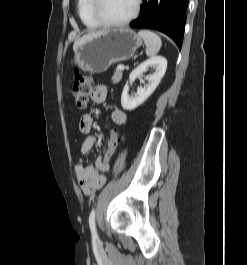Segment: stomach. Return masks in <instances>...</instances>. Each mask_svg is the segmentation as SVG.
Here are the masks:
<instances>
[{"mask_svg":"<svg viewBox=\"0 0 247 265\" xmlns=\"http://www.w3.org/2000/svg\"><path fill=\"white\" fill-rule=\"evenodd\" d=\"M141 45V37L131 29H109L78 45L74 63L85 72L102 73L114 63L129 60Z\"/></svg>","mask_w":247,"mask_h":265,"instance_id":"stomach-1","label":"stomach"}]
</instances>
